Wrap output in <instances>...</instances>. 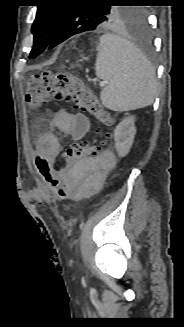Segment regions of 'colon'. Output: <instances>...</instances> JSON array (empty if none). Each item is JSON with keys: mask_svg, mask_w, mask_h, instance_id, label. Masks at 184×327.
I'll list each match as a JSON object with an SVG mask.
<instances>
[{"mask_svg": "<svg viewBox=\"0 0 184 327\" xmlns=\"http://www.w3.org/2000/svg\"><path fill=\"white\" fill-rule=\"evenodd\" d=\"M54 98L74 103L75 108L90 113L103 125H110L113 122L111 114L105 110L80 77L69 72L44 71L29 80L25 93L28 106L36 108ZM68 149L83 156H92L101 151V144L84 141ZM60 168L61 164L57 160L54 162L44 158L38 160V169L54 190L56 197L61 201L74 200L58 178Z\"/></svg>", "mask_w": 184, "mask_h": 327, "instance_id": "obj_1", "label": "colon"}]
</instances>
